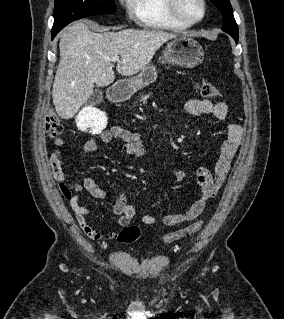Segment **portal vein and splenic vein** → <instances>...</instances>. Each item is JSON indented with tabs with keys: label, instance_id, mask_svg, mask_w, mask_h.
<instances>
[{
	"label": "portal vein and splenic vein",
	"instance_id": "portal-vein-and-splenic-vein-1",
	"mask_svg": "<svg viewBox=\"0 0 284 319\" xmlns=\"http://www.w3.org/2000/svg\"><path fill=\"white\" fill-rule=\"evenodd\" d=\"M112 62H118L119 61V57L116 56V57H113L110 59Z\"/></svg>",
	"mask_w": 284,
	"mask_h": 319
}]
</instances>
